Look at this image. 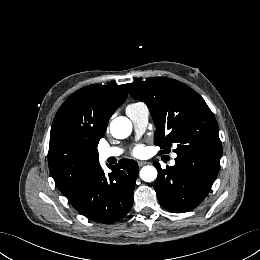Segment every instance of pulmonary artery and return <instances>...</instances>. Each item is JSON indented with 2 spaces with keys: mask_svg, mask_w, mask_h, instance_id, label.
<instances>
[{
  "mask_svg": "<svg viewBox=\"0 0 260 260\" xmlns=\"http://www.w3.org/2000/svg\"><path fill=\"white\" fill-rule=\"evenodd\" d=\"M126 114L130 118L137 135L142 134L148 124L149 110L144 104H131L126 108ZM123 150L119 147L103 148L99 151L102 159L117 157L122 154Z\"/></svg>",
  "mask_w": 260,
  "mask_h": 260,
  "instance_id": "1",
  "label": "pulmonary artery"
}]
</instances>
